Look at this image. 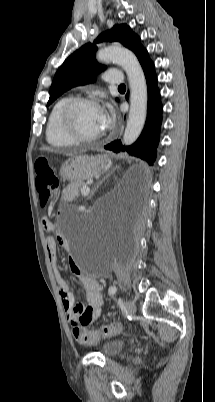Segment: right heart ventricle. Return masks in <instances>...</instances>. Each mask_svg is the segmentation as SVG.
<instances>
[{"mask_svg":"<svg viewBox=\"0 0 215 402\" xmlns=\"http://www.w3.org/2000/svg\"><path fill=\"white\" fill-rule=\"evenodd\" d=\"M71 95H66L59 98L51 108L46 124V140L47 142L57 148H65L72 146L74 142L69 139L62 131L60 124V116L65 104L71 100Z\"/></svg>","mask_w":215,"mask_h":402,"instance_id":"1","label":"right heart ventricle"}]
</instances>
